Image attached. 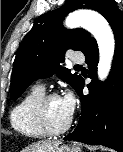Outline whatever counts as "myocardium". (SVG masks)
Instances as JSON below:
<instances>
[{"label":"myocardium","mask_w":123,"mask_h":152,"mask_svg":"<svg viewBox=\"0 0 123 152\" xmlns=\"http://www.w3.org/2000/svg\"><path fill=\"white\" fill-rule=\"evenodd\" d=\"M60 98L57 93L44 94L36 104L35 107V118L40 129L48 136H57L66 132L71 124L72 117L69 118L67 123L61 127H53L48 118L47 107L51 100Z\"/></svg>","instance_id":"myocardium-1"}]
</instances>
